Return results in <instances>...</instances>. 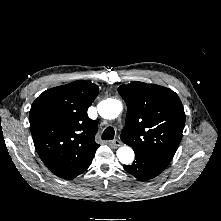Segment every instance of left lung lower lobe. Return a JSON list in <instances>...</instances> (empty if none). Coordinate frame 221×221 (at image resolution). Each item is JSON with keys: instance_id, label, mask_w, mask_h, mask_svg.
<instances>
[{"instance_id": "left-lung-lower-lobe-1", "label": "left lung lower lobe", "mask_w": 221, "mask_h": 221, "mask_svg": "<svg viewBox=\"0 0 221 221\" xmlns=\"http://www.w3.org/2000/svg\"><path fill=\"white\" fill-rule=\"evenodd\" d=\"M135 161L132 165H124V169L136 177L145 181L160 174L169 164L170 160L144 154L139 150H134Z\"/></svg>"}]
</instances>
